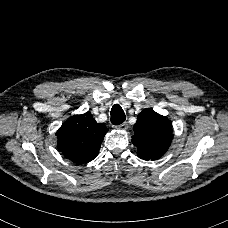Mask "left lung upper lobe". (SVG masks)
Segmentation results:
<instances>
[{"label": "left lung upper lobe", "mask_w": 228, "mask_h": 228, "mask_svg": "<svg viewBox=\"0 0 228 228\" xmlns=\"http://www.w3.org/2000/svg\"><path fill=\"white\" fill-rule=\"evenodd\" d=\"M133 130L132 143L137 147L138 157L144 160L163 156L173 138L171 121L150 108L138 115Z\"/></svg>", "instance_id": "left-lung-upper-lobe-1"}]
</instances>
